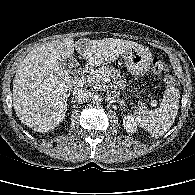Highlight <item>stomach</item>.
<instances>
[{
	"label": "stomach",
	"instance_id": "stomach-1",
	"mask_svg": "<svg viewBox=\"0 0 195 195\" xmlns=\"http://www.w3.org/2000/svg\"><path fill=\"white\" fill-rule=\"evenodd\" d=\"M129 72L135 76H143L150 68L151 53L142 45L131 48L124 54Z\"/></svg>",
	"mask_w": 195,
	"mask_h": 195
}]
</instances>
